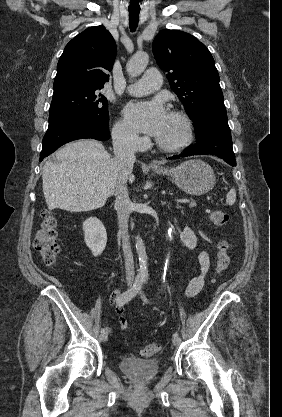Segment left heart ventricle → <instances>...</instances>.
Listing matches in <instances>:
<instances>
[{"mask_svg": "<svg viewBox=\"0 0 282 417\" xmlns=\"http://www.w3.org/2000/svg\"><path fill=\"white\" fill-rule=\"evenodd\" d=\"M182 132L183 129L180 121L167 115L164 125L157 137L165 142H173L181 137Z\"/></svg>", "mask_w": 282, "mask_h": 417, "instance_id": "left-heart-ventricle-1", "label": "left heart ventricle"}]
</instances>
